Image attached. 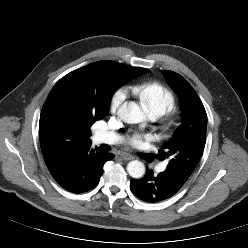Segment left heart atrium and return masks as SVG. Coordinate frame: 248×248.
I'll use <instances>...</instances> for the list:
<instances>
[{
  "mask_svg": "<svg viewBox=\"0 0 248 248\" xmlns=\"http://www.w3.org/2000/svg\"><path fill=\"white\" fill-rule=\"evenodd\" d=\"M147 137L140 133H132L128 136V143L132 146H139Z\"/></svg>",
  "mask_w": 248,
  "mask_h": 248,
  "instance_id": "1",
  "label": "left heart atrium"
}]
</instances>
